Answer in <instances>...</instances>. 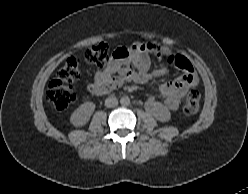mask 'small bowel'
Masks as SVG:
<instances>
[{"mask_svg":"<svg viewBox=\"0 0 248 194\" xmlns=\"http://www.w3.org/2000/svg\"><path fill=\"white\" fill-rule=\"evenodd\" d=\"M158 45L136 43L132 47H118L112 54L109 63L95 74L86 89L94 95L106 94L128 82L148 84L169 73L168 66L152 68L148 52L160 50ZM163 50V49H162ZM182 70V75L171 82H165L159 87V97L168 110H176L181 99L197 83V75L190 61L181 55L172 57V65ZM148 106L154 112L159 111L158 102L151 100Z\"/></svg>","mask_w":248,"mask_h":194,"instance_id":"c3829d8e","label":"small bowel"}]
</instances>
